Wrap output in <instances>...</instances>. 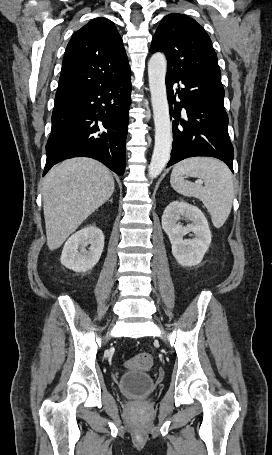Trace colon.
I'll list each match as a JSON object with an SVG mask.
<instances>
[{
    "mask_svg": "<svg viewBox=\"0 0 272 455\" xmlns=\"http://www.w3.org/2000/svg\"><path fill=\"white\" fill-rule=\"evenodd\" d=\"M153 364L152 356L147 352H142L126 362L129 369L148 370Z\"/></svg>",
    "mask_w": 272,
    "mask_h": 455,
    "instance_id": "1",
    "label": "colon"
}]
</instances>
